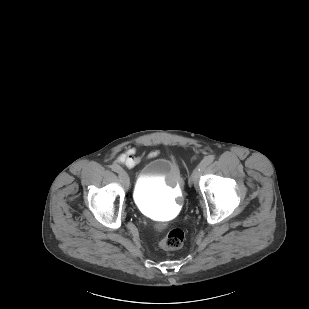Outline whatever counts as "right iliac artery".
I'll use <instances>...</instances> for the list:
<instances>
[{"label":"right iliac artery","mask_w":309,"mask_h":309,"mask_svg":"<svg viewBox=\"0 0 309 309\" xmlns=\"http://www.w3.org/2000/svg\"><path fill=\"white\" fill-rule=\"evenodd\" d=\"M111 169L115 172H119V170L121 169L119 165L117 164H112L111 165Z\"/></svg>","instance_id":"obj_1"}]
</instances>
